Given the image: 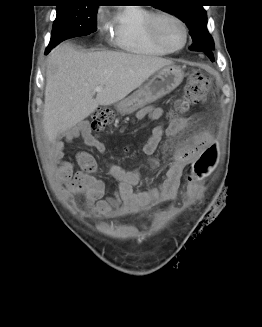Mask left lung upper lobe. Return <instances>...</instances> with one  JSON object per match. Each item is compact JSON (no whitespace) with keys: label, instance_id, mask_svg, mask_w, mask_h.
<instances>
[{"label":"left lung upper lobe","instance_id":"left-lung-upper-lobe-1","mask_svg":"<svg viewBox=\"0 0 262 327\" xmlns=\"http://www.w3.org/2000/svg\"><path fill=\"white\" fill-rule=\"evenodd\" d=\"M156 8L176 15L189 28L195 51L214 49V42L207 29V14L202 5L195 0H160Z\"/></svg>","mask_w":262,"mask_h":327}]
</instances>
